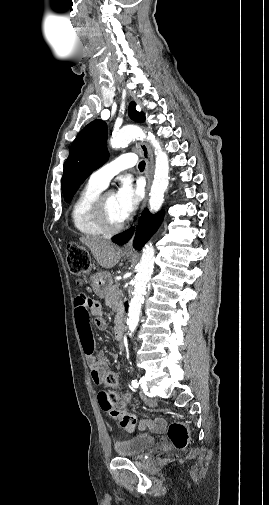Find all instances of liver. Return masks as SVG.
<instances>
[{"mask_svg":"<svg viewBox=\"0 0 269 505\" xmlns=\"http://www.w3.org/2000/svg\"><path fill=\"white\" fill-rule=\"evenodd\" d=\"M80 241L90 249L98 264L105 269L113 268L121 258L122 250L108 240L82 236Z\"/></svg>","mask_w":269,"mask_h":505,"instance_id":"liver-1","label":"liver"}]
</instances>
